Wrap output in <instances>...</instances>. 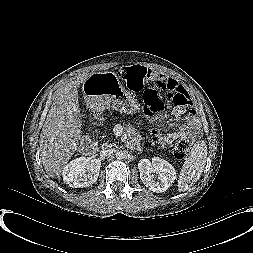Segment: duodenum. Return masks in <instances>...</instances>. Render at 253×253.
<instances>
[{
	"label": "duodenum",
	"mask_w": 253,
	"mask_h": 253,
	"mask_svg": "<svg viewBox=\"0 0 253 253\" xmlns=\"http://www.w3.org/2000/svg\"><path fill=\"white\" fill-rule=\"evenodd\" d=\"M80 150L85 155H93L97 152V147L91 139H85L81 142Z\"/></svg>",
	"instance_id": "410a0bca"
}]
</instances>
